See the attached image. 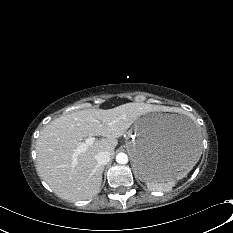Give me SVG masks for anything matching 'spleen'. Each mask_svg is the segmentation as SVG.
<instances>
[{
	"label": "spleen",
	"mask_w": 233,
	"mask_h": 233,
	"mask_svg": "<svg viewBox=\"0 0 233 233\" xmlns=\"http://www.w3.org/2000/svg\"><path fill=\"white\" fill-rule=\"evenodd\" d=\"M176 183V179L167 180V181H148L147 187L150 190H167L171 188Z\"/></svg>",
	"instance_id": "1"
}]
</instances>
